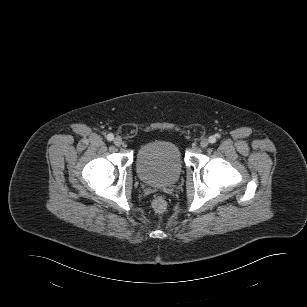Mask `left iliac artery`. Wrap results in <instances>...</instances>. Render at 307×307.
<instances>
[{
    "label": "left iliac artery",
    "mask_w": 307,
    "mask_h": 307,
    "mask_svg": "<svg viewBox=\"0 0 307 307\" xmlns=\"http://www.w3.org/2000/svg\"><path fill=\"white\" fill-rule=\"evenodd\" d=\"M209 142L212 143V144L215 143L216 142V137L215 136H210L209 137Z\"/></svg>",
    "instance_id": "1"
}]
</instances>
